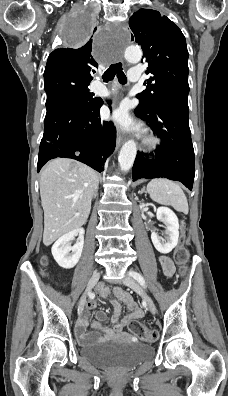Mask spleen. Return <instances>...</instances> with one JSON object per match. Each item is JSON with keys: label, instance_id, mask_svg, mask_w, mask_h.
<instances>
[{"label": "spleen", "instance_id": "obj_1", "mask_svg": "<svg viewBox=\"0 0 228 396\" xmlns=\"http://www.w3.org/2000/svg\"><path fill=\"white\" fill-rule=\"evenodd\" d=\"M151 198L163 205H171L176 211L188 214L187 198L181 187L164 178L153 179L147 185Z\"/></svg>", "mask_w": 228, "mask_h": 396}]
</instances>
